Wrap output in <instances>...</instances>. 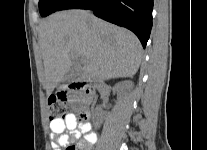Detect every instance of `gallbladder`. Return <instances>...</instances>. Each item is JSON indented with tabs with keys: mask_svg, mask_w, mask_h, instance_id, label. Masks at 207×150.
Returning a JSON list of instances; mask_svg holds the SVG:
<instances>
[{
	"mask_svg": "<svg viewBox=\"0 0 207 150\" xmlns=\"http://www.w3.org/2000/svg\"><path fill=\"white\" fill-rule=\"evenodd\" d=\"M75 72L74 69H71L69 72H67L61 81L62 84H66L67 82L73 80L75 78Z\"/></svg>",
	"mask_w": 207,
	"mask_h": 150,
	"instance_id": "1",
	"label": "gallbladder"
}]
</instances>
